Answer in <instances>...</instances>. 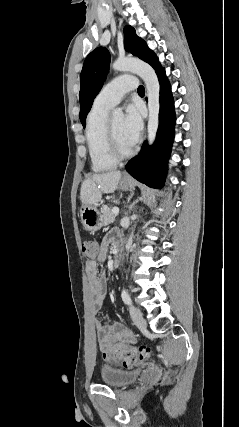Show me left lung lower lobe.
Wrapping results in <instances>:
<instances>
[{"instance_id": "obj_1", "label": "left lung lower lobe", "mask_w": 239, "mask_h": 427, "mask_svg": "<svg viewBox=\"0 0 239 427\" xmlns=\"http://www.w3.org/2000/svg\"><path fill=\"white\" fill-rule=\"evenodd\" d=\"M160 83V113L157 138L152 146L147 142L141 152L126 165L127 172L139 182L160 189L164 185L167 160L174 138L175 112L171 86L161 65L155 68Z\"/></svg>"}]
</instances>
